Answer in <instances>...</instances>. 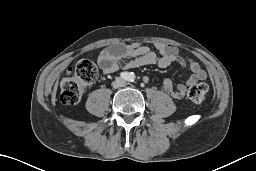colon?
I'll list each match as a JSON object with an SVG mask.
<instances>
[{"mask_svg": "<svg viewBox=\"0 0 256 171\" xmlns=\"http://www.w3.org/2000/svg\"><path fill=\"white\" fill-rule=\"evenodd\" d=\"M98 76L97 67L88 60H80L71 67L60 83V99L65 105L79 102L84 88L92 84ZM209 94L206 83H197L188 90V98L193 104L204 102Z\"/></svg>", "mask_w": 256, "mask_h": 171, "instance_id": "5ec220e1", "label": "colon"}]
</instances>
